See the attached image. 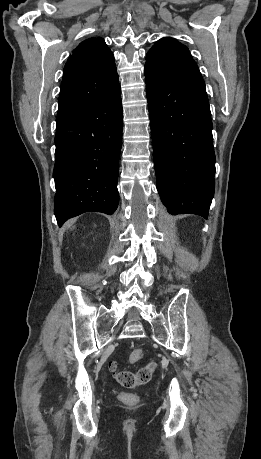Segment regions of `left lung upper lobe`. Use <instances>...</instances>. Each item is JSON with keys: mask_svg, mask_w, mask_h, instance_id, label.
<instances>
[{"mask_svg": "<svg viewBox=\"0 0 261 459\" xmlns=\"http://www.w3.org/2000/svg\"><path fill=\"white\" fill-rule=\"evenodd\" d=\"M145 67L177 79L203 81L188 48L173 38H162L146 55Z\"/></svg>", "mask_w": 261, "mask_h": 459, "instance_id": "left-lung-upper-lobe-1", "label": "left lung upper lobe"}]
</instances>
